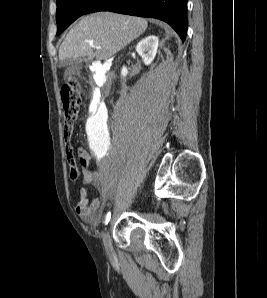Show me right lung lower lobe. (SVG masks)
Masks as SVG:
<instances>
[{"mask_svg": "<svg viewBox=\"0 0 267 298\" xmlns=\"http://www.w3.org/2000/svg\"><path fill=\"white\" fill-rule=\"evenodd\" d=\"M112 11L167 22L182 41L187 32V0H100L91 12Z\"/></svg>", "mask_w": 267, "mask_h": 298, "instance_id": "right-lung-lower-lobe-1", "label": "right lung lower lobe"}]
</instances>
